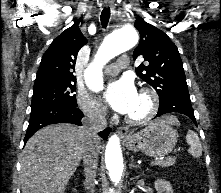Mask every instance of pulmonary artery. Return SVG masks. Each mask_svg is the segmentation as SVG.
<instances>
[{
    "mask_svg": "<svg viewBox=\"0 0 221 193\" xmlns=\"http://www.w3.org/2000/svg\"><path fill=\"white\" fill-rule=\"evenodd\" d=\"M129 64V59L127 56H122L119 58L117 63L110 64L105 68V73L107 75H115L119 72L120 69L125 68Z\"/></svg>",
    "mask_w": 221,
    "mask_h": 193,
    "instance_id": "pulmonary-artery-1",
    "label": "pulmonary artery"
}]
</instances>
